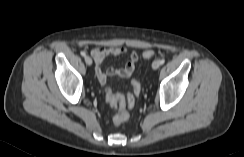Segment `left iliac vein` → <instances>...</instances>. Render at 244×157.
<instances>
[{
	"mask_svg": "<svg viewBox=\"0 0 244 157\" xmlns=\"http://www.w3.org/2000/svg\"><path fill=\"white\" fill-rule=\"evenodd\" d=\"M160 67V63H159V61H154L153 63H152V68L153 69H158Z\"/></svg>",
	"mask_w": 244,
	"mask_h": 157,
	"instance_id": "1",
	"label": "left iliac vein"
}]
</instances>
